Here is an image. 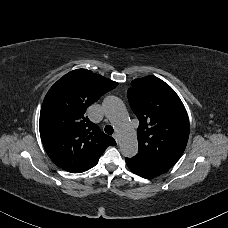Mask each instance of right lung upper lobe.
Here are the masks:
<instances>
[{
  "label": "right lung upper lobe",
  "instance_id": "cb5924a9",
  "mask_svg": "<svg viewBox=\"0 0 228 228\" xmlns=\"http://www.w3.org/2000/svg\"><path fill=\"white\" fill-rule=\"evenodd\" d=\"M117 85L90 70L77 69L50 88L42 104L39 129L44 148L57 166L80 172L98 161L108 146L116 145L85 113Z\"/></svg>",
  "mask_w": 228,
  "mask_h": 228
}]
</instances>
